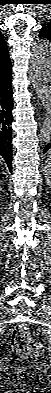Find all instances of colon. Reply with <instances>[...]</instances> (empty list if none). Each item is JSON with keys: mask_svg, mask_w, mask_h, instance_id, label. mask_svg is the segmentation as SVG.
Listing matches in <instances>:
<instances>
[{"mask_svg": "<svg viewBox=\"0 0 51 393\" xmlns=\"http://www.w3.org/2000/svg\"><path fill=\"white\" fill-rule=\"evenodd\" d=\"M11 347L14 352L24 358L40 357L44 346L31 340L30 331L25 325H17L11 333Z\"/></svg>", "mask_w": 51, "mask_h": 393, "instance_id": "obj_1", "label": "colon"}]
</instances>
